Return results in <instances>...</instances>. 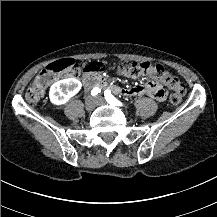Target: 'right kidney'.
<instances>
[{
  "mask_svg": "<svg viewBox=\"0 0 217 217\" xmlns=\"http://www.w3.org/2000/svg\"><path fill=\"white\" fill-rule=\"evenodd\" d=\"M81 87V82L76 78L60 80L52 85L50 89V100L56 105L64 104L71 96L77 94Z\"/></svg>",
  "mask_w": 217,
  "mask_h": 217,
  "instance_id": "right-kidney-1",
  "label": "right kidney"
}]
</instances>
